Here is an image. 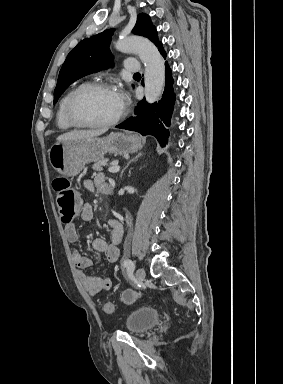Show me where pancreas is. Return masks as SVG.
<instances>
[{
  "label": "pancreas",
  "instance_id": "pancreas-1",
  "mask_svg": "<svg viewBox=\"0 0 283 384\" xmlns=\"http://www.w3.org/2000/svg\"><path fill=\"white\" fill-rule=\"evenodd\" d=\"M108 160H100V162H97V164H93L92 168L93 170H96V172H102L103 166H107Z\"/></svg>",
  "mask_w": 283,
  "mask_h": 384
}]
</instances>
